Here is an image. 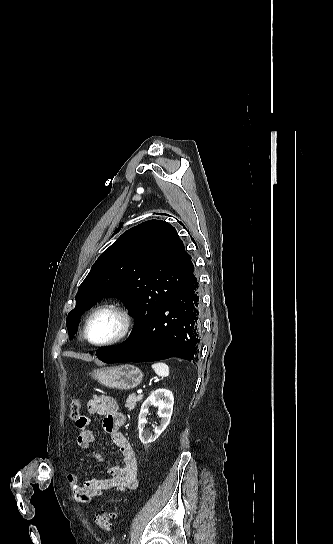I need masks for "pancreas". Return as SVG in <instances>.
<instances>
[{
	"mask_svg": "<svg viewBox=\"0 0 333 544\" xmlns=\"http://www.w3.org/2000/svg\"><path fill=\"white\" fill-rule=\"evenodd\" d=\"M143 398V395L135 396L134 394L129 395V397L126 400L125 407L131 411L135 408L137 402H140Z\"/></svg>",
	"mask_w": 333,
	"mask_h": 544,
	"instance_id": "pancreas-1",
	"label": "pancreas"
}]
</instances>
